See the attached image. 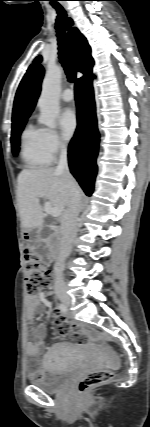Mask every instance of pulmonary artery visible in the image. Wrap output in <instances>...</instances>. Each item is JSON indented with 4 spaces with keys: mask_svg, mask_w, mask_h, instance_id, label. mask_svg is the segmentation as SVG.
<instances>
[{
    "mask_svg": "<svg viewBox=\"0 0 150 427\" xmlns=\"http://www.w3.org/2000/svg\"><path fill=\"white\" fill-rule=\"evenodd\" d=\"M61 99L65 102L73 100V92L70 89H65L61 94Z\"/></svg>",
    "mask_w": 150,
    "mask_h": 427,
    "instance_id": "e3ab8cb5",
    "label": "pulmonary artery"
}]
</instances>
